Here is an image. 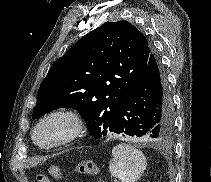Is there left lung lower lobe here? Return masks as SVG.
I'll use <instances>...</instances> for the list:
<instances>
[{"label":"left lung lower lobe","mask_w":211,"mask_h":182,"mask_svg":"<svg viewBox=\"0 0 211 182\" xmlns=\"http://www.w3.org/2000/svg\"><path fill=\"white\" fill-rule=\"evenodd\" d=\"M174 112L166 74L151 53L134 88L115 116L113 131L142 140L166 136L172 129Z\"/></svg>","instance_id":"1"}]
</instances>
